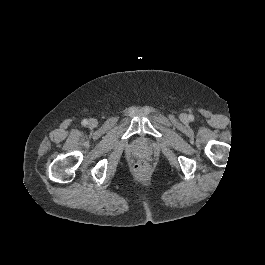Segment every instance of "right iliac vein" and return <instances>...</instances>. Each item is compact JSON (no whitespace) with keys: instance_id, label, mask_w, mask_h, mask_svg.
<instances>
[{"instance_id":"63e3f726","label":"right iliac vein","mask_w":265,"mask_h":265,"mask_svg":"<svg viewBox=\"0 0 265 265\" xmlns=\"http://www.w3.org/2000/svg\"><path fill=\"white\" fill-rule=\"evenodd\" d=\"M97 124H98V122H97V120L94 119V118H91V119L88 121V125H89V127H91V128H95V127L97 126Z\"/></svg>"}]
</instances>
